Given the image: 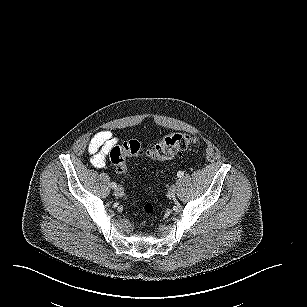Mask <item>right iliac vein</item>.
Here are the masks:
<instances>
[{
	"mask_svg": "<svg viewBox=\"0 0 307 307\" xmlns=\"http://www.w3.org/2000/svg\"><path fill=\"white\" fill-rule=\"evenodd\" d=\"M115 196L119 197L123 194V189L120 186H117L114 190Z\"/></svg>",
	"mask_w": 307,
	"mask_h": 307,
	"instance_id": "obj_1",
	"label": "right iliac vein"
}]
</instances>
